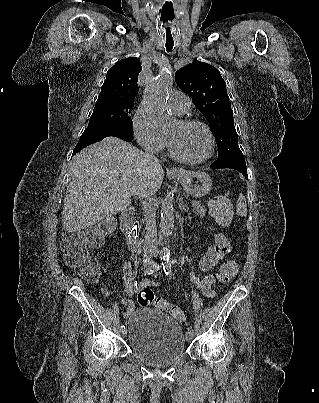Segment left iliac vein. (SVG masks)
I'll use <instances>...</instances> for the list:
<instances>
[{"label":"left iliac vein","instance_id":"4c4485c4","mask_svg":"<svg viewBox=\"0 0 319 403\" xmlns=\"http://www.w3.org/2000/svg\"><path fill=\"white\" fill-rule=\"evenodd\" d=\"M152 267L155 268L156 265L153 264ZM186 340H187L188 342L192 341V340H193V335H192V334H187V335H186Z\"/></svg>","mask_w":319,"mask_h":403}]
</instances>
